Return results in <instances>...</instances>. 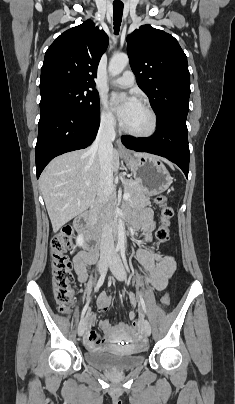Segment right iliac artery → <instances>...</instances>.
Instances as JSON below:
<instances>
[{
  "instance_id": "right-iliac-artery-1",
  "label": "right iliac artery",
  "mask_w": 235,
  "mask_h": 404,
  "mask_svg": "<svg viewBox=\"0 0 235 404\" xmlns=\"http://www.w3.org/2000/svg\"><path fill=\"white\" fill-rule=\"evenodd\" d=\"M118 251H119V247H116L114 253L116 254ZM106 274H107V270H105V271L101 274V277L99 278L98 283H97V285H96V287H95V292L98 291V289L102 286V284H103V282H104V279H105V277H106ZM89 303H90V299L87 301L86 305H85L84 308H83V311H82V314H81V321H82L83 318L85 317V314H86V311H87V309H88Z\"/></svg>"
}]
</instances>
